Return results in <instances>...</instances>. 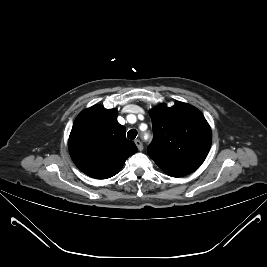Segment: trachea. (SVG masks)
I'll return each mask as SVG.
<instances>
[{"mask_svg": "<svg viewBox=\"0 0 267 267\" xmlns=\"http://www.w3.org/2000/svg\"><path fill=\"white\" fill-rule=\"evenodd\" d=\"M136 136H137V131L135 129H131L127 133V138L128 139H132L133 140V139L136 138Z\"/></svg>", "mask_w": 267, "mask_h": 267, "instance_id": "3493384b", "label": "trachea"}]
</instances>
